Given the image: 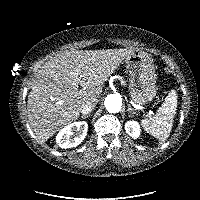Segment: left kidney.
<instances>
[{"mask_svg":"<svg viewBox=\"0 0 200 200\" xmlns=\"http://www.w3.org/2000/svg\"><path fill=\"white\" fill-rule=\"evenodd\" d=\"M125 131L132 138L137 139L140 136L141 128L137 121L129 120L125 123Z\"/></svg>","mask_w":200,"mask_h":200,"instance_id":"obj_1","label":"left kidney"}]
</instances>
